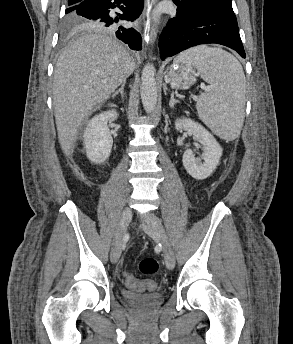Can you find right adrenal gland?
<instances>
[{
    "label": "right adrenal gland",
    "instance_id": "1",
    "mask_svg": "<svg viewBox=\"0 0 293 344\" xmlns=\"http://www.w3.org/2000/svg\"><path fill=\"white\" fill-rule=\"evenodd\" d=\"M125 81L122 83L121 87L115 91L112 95V98H115L119 93L121 94V97L124 98V87H125Z\"/></svg>",
    "mask_w": 293,
    "mask_h": 344
}]
</instances>
